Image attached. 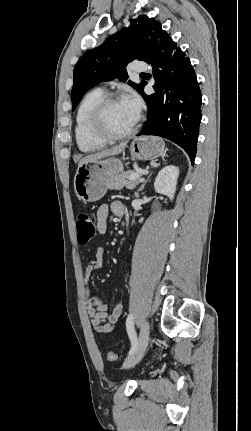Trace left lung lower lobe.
Masks as SVG:
<instances>
[{"mask_svg":"<svg viewBox=\"0 0 251 431\" xmlns=\"http://www.w3.org/2000/svg\"><path fill=\"white\" fill-rule=\"evenodd\" d=\"M171 37L160 39L147 63H152L155 93L147 96L148 116L141 135H157L181 146L194 163L202 96L190 60Z\"/></svg>","mask_w":251,"mask_h":431,"instance_id":"obj_1","label":"left lung lower lobe"}]
</instances>
